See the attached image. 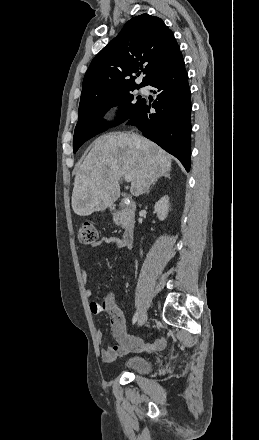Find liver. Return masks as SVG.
<instances>
[{"instance_id": "obj_1", "label": "liver", "mask_w": 259, "mask_h": 440, "mask_svg": "<svg viewBox=\"0 0 259 440\" xmlns=\"http://www.w3.org/2000/svg\"><path fill=\"white\" fill-rule=\"evenodd\" d=\"M172 157L152 141L115 132L96 139L79 166L72 192V208L88 216L113 205L120 196V179L132 176L130 192L138 197L171 169Z\"/></svg>"}]
</instances>
